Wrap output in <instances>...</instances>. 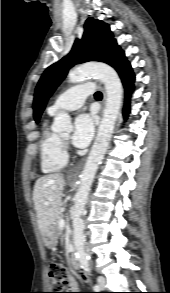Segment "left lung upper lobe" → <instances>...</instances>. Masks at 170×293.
I'll return each instance as SVG.
<instances>
[{
  "mask_svg": "<svg viewBox=\"0 0 170 293\" xmlns=\"http://www.w3.org/2000/svg\"><path fill=\"white\" fill-rule=\"evenodd\" d=\"M122 52L109 26L100 20L88 18L82 39H77L71 52L48 67L40 78L33 103L35 121L39 122L48 98L74 64L100 61L112 65Z\"/></svg>",
  "mask_w": 170,
  "mask_h": 293,
  "instance_id": "obj_1",
  "label": "left lung upper lobe"
}]
</instances>
